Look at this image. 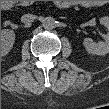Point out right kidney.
Instances as JSON below:
<instances>
[{
	"label": "right kidney",
	"instance_id": "right-kidney-1",
	"mask_svg": "<svg viewBox=\"0 0 109 109\" xmlns=\"http://www.w3.org/2000/svg\"><path fill=\"white\" fill-rule=\"evenodd\" d=\"M15 33L12 30L4 29L1 31V54L2 56L9 53L13 47Z\"/></svg>",
	"mask_w": 109,
	"mask_h": 109
}]
</instances>
